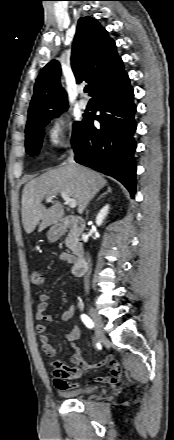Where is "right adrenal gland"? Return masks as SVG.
Masks as SVG:
<instances>
[{
    "label": "right adrenal gland",
    "mask_w": 174,
    "mask_h": 440,
    "mask_svg": "<svg viewBox=\"0 0 174 440\" xmlns=\"http://www.w3.org/2000/svg\"><path fill=\"white\" fill-rule=\"evenodd\" d=\"M111 192H112V190H111V188L108 186V187H107V191L104 192V193H102V194L96 199V201L100 200V199L103 198L106 194L111 193ZM88 212H89V211H87V214H88Z\"/></svg>",
    "instance_id": "obj_1"
}]
</instances>
